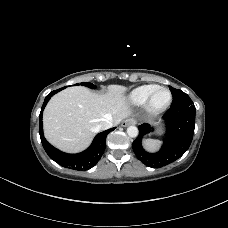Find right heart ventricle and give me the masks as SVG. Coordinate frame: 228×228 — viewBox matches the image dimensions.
<instances>
[{"label": "right heart ventricle", "mask_w": 228, "mask_h": 228, "mask_svg": "<svg viewBox=\"0 0 228 228\" xmlns=\"http://www.w3.org/2000/svg\"><path fill=\"white\" fill-rule=\"evenodd\" d=\"M157 87L156 84H147L133 89L128 95V102L135 106L143 105Z\"/></svg>", "instance_id": "1"}]
</instances>
